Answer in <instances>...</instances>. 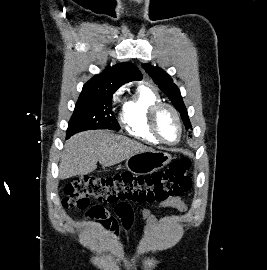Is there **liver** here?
Returning <instances> with one entry per match:
<instances>
[{"mask_svg":"<svg viewBox=\"0 0 267 270\" xmlns=\"http://www.w3.org/2000/svg\"><path fill=\"white\" fill-rule=\"evenodd\" d=\"M143 151H153V149L107 130L82 132L65 143L59 165V177L66 179L85 175L97 168V162L104 167H109Z\"/></svg>","mask_w":267,"mask_h":270,"instance_id":"obj_1","label":"liver"}]
</instances>
